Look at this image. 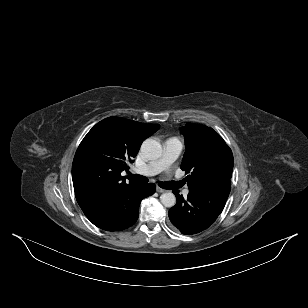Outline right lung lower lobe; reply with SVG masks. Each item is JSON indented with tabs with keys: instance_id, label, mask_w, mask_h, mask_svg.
I'll list each match as a JSON object with an SVG mask.
<instances>
[{
	"instance_id": "1",
	"label": "right lung lower lobe",
	"mask_w": 308,
	"mask_h": 308,
	"mask_svg": "<svg viewBox=\"0 0 308 308\" xmlns=\"http://www.w3.org/2000/svg\"><path fill=\"white\" fill-rule=\"evenodd\" d=\"M155 184H140L115 213L89 219L95 226L107 231H121L132 226L138 219V210L143 198L154 194Z\"/></svg>"
}]
</instances>
